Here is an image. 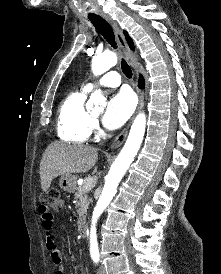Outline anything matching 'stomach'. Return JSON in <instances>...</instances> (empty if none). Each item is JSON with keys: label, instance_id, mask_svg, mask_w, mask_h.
<instances>
[{"label": "stomach", "instance_id": "obj_1", "mask_svg": "<svg viewBox=\"0 0 221 274\" xmlns=\"http://www.w3.org/2000/svg\"><path fill=\"white\" fill-rule=\"evenodd\" d=\"M59 186L68 193H72L76 188V177L72 174L63 175L60 178Z\"/></svg>", "mask_w": 221, "mask_h": 274}]
</instances>
